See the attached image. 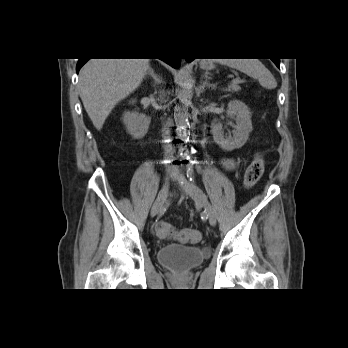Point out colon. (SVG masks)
Wrapping results in <instances>:
<instances>
[{"label":"colon","instance_id":"obj_1","mask_svg":"<svg viewBox=\"0 0 348 348\" xmlns=\"http://www.w3.org/2000/svg\"><path fill=\"white\" fill-rule=\"evenodd\" d=\"M265 170V160L261 153H257L245 170L244 184L246 187L254 186L262 177ZM156 235L160 239L175 238L183 243H198L201 235L193 229H181L175 231L168 222H160L156 226Z\"/></svg>","mask_w":348,"mask_h":348}]
</instances>
